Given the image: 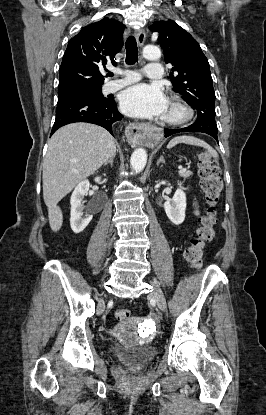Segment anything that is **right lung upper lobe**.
<instances>
[{"instance_id": "right-lung-upper-lobe-1", "label": "right lung upper lobe", "mask_w": 266, "mask_h": 415, "mask_svg": "<svg viewBox=\"0 0 266 415\" xmlns=\"http://www.w3.org/2000/svg\"><path fill=\"white\" fill-rule=\"evenodd\" d=\"M125 26L104 18L84 27L67 46L60 67L58 94L101 87L106 64H117L115 55L123 46Z\"/></svg>"}]
</instances>
